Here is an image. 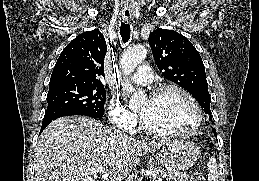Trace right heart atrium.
<instances>
[{"label": "right heart atrium", "mask_w": 259, "mask_h": 181, "mask_svg": "<svg viewBox=\"0 0 259 181\" xmlns=\"http://www.w3.org/2000/svg\"><path fill=\"white\" fill-rule=\"evenodd\" d=\"M108 113L111 122L117 128L127 132L135 131L138 123L137 115L129 111L118 98L112 97L110 99L108 103Z\"/></svg>", "instance_id": "obj_1"}]
</instances>
